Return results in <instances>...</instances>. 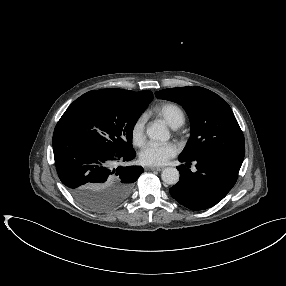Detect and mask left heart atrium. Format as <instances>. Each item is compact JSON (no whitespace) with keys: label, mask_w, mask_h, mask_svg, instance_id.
<instances>
[{"label":"left heart atrium","mask_w":286,"mask_h":286,"mask_svg":"<svg viewBox=\"0 0 286 286\" xmlns=\"http://www.w3.org/2000/svg\"><path fill=\"white\" fill-rule=\"evenodd\" d=\"M178 153V147L173 143L150 142L143 147L139 160L143 165L162 166Z\"/></svg>","instance_id":"1"}]
</instances>
